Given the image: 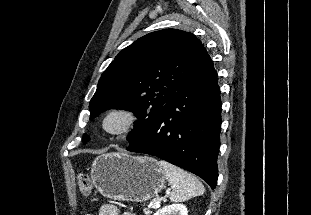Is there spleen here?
I'll return each mask as SVG.
<instances>
[{"label":"spleen","mask_w":311,"mask_h":215,"mask_svg":"<svg viewBox=\"0 0 311 215\" xmlns=\"http://www.w3.org/2000/svg\"><path fill=\"white\" fill-rule=\"evenodd\" d=\"M158 165L173 187V191L170 193L172 202H183L204 194L205 188L196 176L164 160H160Z\"/></svg>","instance_id":"3e777b00"}]
</instances>
